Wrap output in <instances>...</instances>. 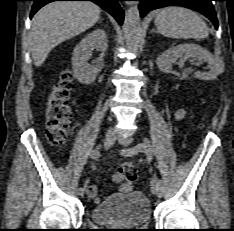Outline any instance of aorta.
Listing matches in <instances>:
<instances>
[{
    "instance_id": "aorta-1",
    "label": "aorta",
    "mask_w": 234,
    "mask_h": 231,
    "mask_svg": "<svg viewBox=\"0 0 234 231\" xmlns=\"http://www.w3.org/2000/svg\"><path fill=\"white\" fill-rule=\"evenodd\" d=\"M123 32L127 46L133 51L138 50L141 41V24L137 6H132L127 10L123 23Z\"/></svg>"
}]
</instances>
